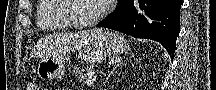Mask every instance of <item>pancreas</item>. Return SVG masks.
Listing matches in <instances>:
<instances>
[{"instance_id": "pancreas-1", "label": "pancreas", "mask_w": 216, "mask_h": 90, "mask_svg": "<svg viewBox=\"0 0 216 90\" xmlns=\"http://www.w3.org/2000/svg\"><path fill=\"white\" fill-rule=\"evenodd\" d=\"M76 78L78 80H82L84 84H89V80L91 78H96L94 72H91V68H76V72H74Z\"/></svg>"}]
</instances>
